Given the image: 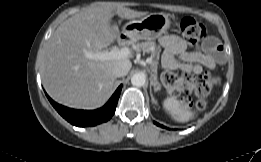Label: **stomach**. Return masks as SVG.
Masks as SVG:
<instances>
[{
	"instance_id": "0dacf381",
	"label": "stomach",
	"mask_w": 261,
	"mask_h": 162,
	"mask_svg": "<svg viewBox=\"0 0 261 162\" xmlns=\"http://www.w3.org/2000/svg\"><path fill=\"white\" fill-rule=\"evenodd\" d=\"M171 24L164 13H151L141 19L132 20L123 27V34H132L136 40H154L166 33Z\"/></svg>"
}]
</instances>
